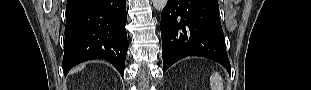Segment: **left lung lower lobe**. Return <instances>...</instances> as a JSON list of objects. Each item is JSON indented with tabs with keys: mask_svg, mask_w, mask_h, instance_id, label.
<instances>
[{
	"mask_svg": "<svg viewBox=\"0 0 311 90\" xmlns=\"http://www.w3.org/2000/svg\"><path fill=\"white\" fill-rule=\"evenodd\" d=\"M163 72L187 56H201L231 73L217 0H168L162 11Z\"/></svg>",
	"mask_w": 311,
	"mask_h": 90,
	"instance_id": "left-lung-lower-lobe-1",
	"label": "left lung lower lobe"
}]
</instances>
